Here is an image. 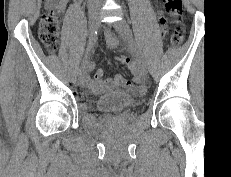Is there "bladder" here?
<instances>
[{
  "mask_svg": "<svg viewBox=\"0 0 231 177\" xmlns=\"http://www.w3.org/2000/svg\"><path fill=\"white\" fill-rule=\"evenodd\" d=\"M136 105L135 99L124 91H111L97 100V108L101 112L117 111Z\"/></svg>",
  "mask_w": 231,
  "mask_h": 177,
  "instance_id": "1",
  "label": "bladder"
}]
</instances>
